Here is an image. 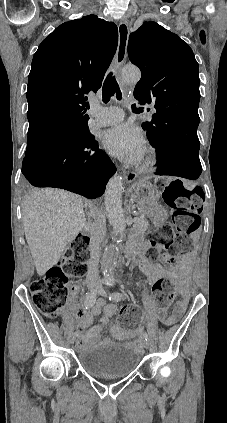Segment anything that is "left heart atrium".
Instances as JSON below:
<instances>
[{
	"label": "left heart atrium",
	"mask_w": 227,
	"mask_h": 423,
	"mask_svg": "<svg viewBox=\"0 0 227 423\" xmlns=\"http://www.w3.org/2000/svg\"><path fill=\"white\" fill-rule=\"evenodd\" d=\"M105 149L126 163L138 164L145 156L147 141L143 132L132 126H118L102 134Z\"/></svg>",
	"instance_id": "1"
}]
</instances>
